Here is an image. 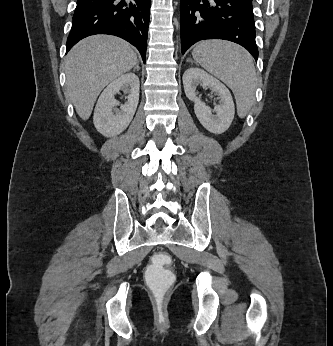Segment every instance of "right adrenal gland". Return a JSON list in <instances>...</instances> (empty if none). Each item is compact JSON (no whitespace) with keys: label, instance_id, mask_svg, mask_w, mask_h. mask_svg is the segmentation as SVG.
<instances>
[{"label":"right adrenal gland","instance_id":"1","mask_svg":"<svg viewBox=\"0 0 333 346\" xmlns=\"http://www.w3.org/2000/svg\"><path fill=\"white\" fill-rule=\"evenodd\" d=\"M135 70H137V71H139V70H140L139 63H137V64L135 65V67H134V71H135Z\"/></svg>","mask_w":333,"mask_h":346}]
</instances>
